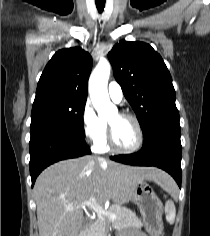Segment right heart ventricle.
<instances>
[{
    "mask_svg": "<svg viewBox=\"0 0 210 236\" xmlns=\"http://www.w3.org/2000/svg\"><path fill=\"white\" fill-rule=\"evenodd\" d=\"M94 150L98 153H105L109 151V146L107 143L106 136L102 138L99 142L94 144Z\"/></svg>",
    "mask_w": 210,
    "mask_h": 236,
    "instance_id": "1",
    "label": "right heart ventricle"
}]
</instances>
